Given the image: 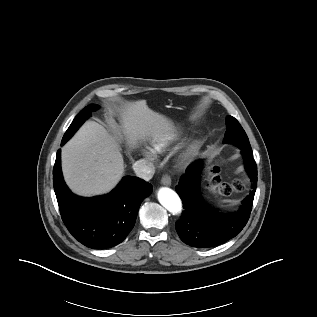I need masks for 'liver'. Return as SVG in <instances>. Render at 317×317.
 <instances>
[{"mask_svg":"<svg viewBox=\"0 0 317 317\" xmlns=\"http://www.w3.org/2000/svg\"><path fill=\"white\" fill-rule=\"evenodd\" d=\"M120 131L133 147L145 136L158 137L165 118L145 100L120 108ZM124 161L116 137L103 126L86 122L62 147V171L67 185L77 194L90 196L111 191L124 174Z\"/></svg>","mask_w":317,"mask_h":317,"instance_id":"1","label":"liver"}]
</instances>
